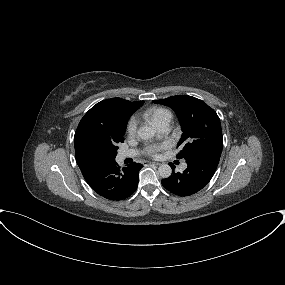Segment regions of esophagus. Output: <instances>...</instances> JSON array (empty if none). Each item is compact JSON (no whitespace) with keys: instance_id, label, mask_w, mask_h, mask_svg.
Here are the masks:
<instances>
[{"instance_id":"1","label":"esophagus","mask_w":285,"mask_h":285,"mask_svg":"<svg viewBox=\"0 0 285 285\" xmlns=\"http://www.w3.org/2000/svg\"><path fill=\"white\" fill-rule=\"evenodd\" d=\"M148 165L154 164V165H160L159 162H147Z\"/></svg>"}]
</instances>
